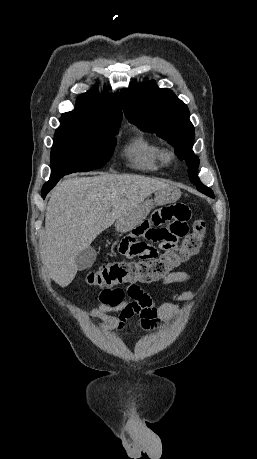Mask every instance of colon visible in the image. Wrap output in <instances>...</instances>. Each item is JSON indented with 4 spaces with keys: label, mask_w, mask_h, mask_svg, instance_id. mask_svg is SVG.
I'll use <instances>...</instances> for the list:
<instances>
[{
    "label": "colon",
    "mask_w": 257,
    "mask_h": 459,
    "mask_svg": "<svg viewBox=\"0 0 257 459\" xmlns=\"http://www.w3.org/2000/svg\"><path fill=\"white\" fill-rule=\"evenodd\" d=\"M192 227L195 229L194 236H185L178 251H163L157 261H145V264H121L120 261L105 264L90 271L86 277L87 282L93 286L105 287L157 279L174 265L197 253L206 236V223L198 219Z\"/></svg>",
    "instance_id": "5ec220e1"
}]
</instances>
